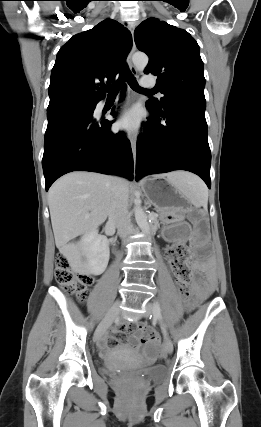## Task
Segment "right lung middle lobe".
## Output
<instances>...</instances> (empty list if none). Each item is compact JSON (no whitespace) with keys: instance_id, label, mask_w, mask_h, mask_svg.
<instances>
[{"instance_id":"dd1d6c3e","label":"right lung middle lobe","mask_w":261,"mask_h":427,"mask_svg":"<svg viewBox=\"0 0 261 427\" xmlns=\"http://www.w3.org/2000/svg\"><path fill=\"white\" fill-rule=\"evenodd\" d=\"M96 105H70V106H64L59 107L55 109L47 110V118L51 119L58 116L63 115H86V116H93V111L95 109Z\"/></svg>"}]
</instances>
